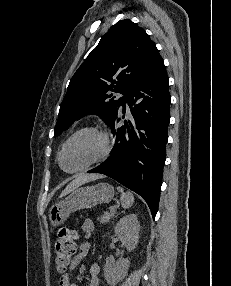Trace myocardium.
Masks as SVG:
<instances>
[{"label":"myocardium","mask_w":231,"mask_h":286,"mask_svg":"<svg viewBox=\"0 0 231 286\" xmlns=\"http://www.w3.org/2000/svg\"><path fill=\"white\" fill-rule=\"evenodd\" d=\"M85 132L95 133L102 139L103 150H102L101 154L97 158L93 159L92 161L88 162L87 164L83 165L82 167H80L78 169H75L72 171L65 170L62 166V156H63V153H64L66 146L77 135H79L81 133H85ZM111 148H112V146H111L110 137L103 129H101L97 126H83V127L78 128L77 130H75L73 133H71L66 138V140L63 142V144L61 145V148H60V151L58 154V164H59L60 168L67 173H71V174L79 173V172H82V171H85V170L91 168L94 165H97V164L105 161L111 152Z\"/></svg>","instance_id":"1"}]
</instances>
